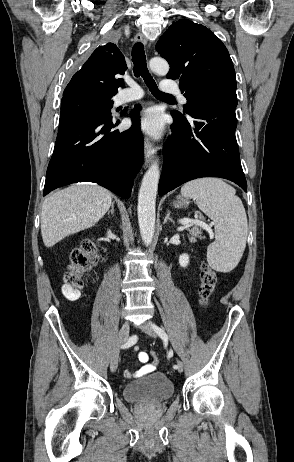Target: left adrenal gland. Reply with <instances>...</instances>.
Wrapping results in <instances>:
<instances>
[{
  "instance_id": "a2214340",
  "label": "left adrenal gland",
  "mask_w": 294,
  "mask_h": 462,
  "mask_svg": "<svg viewBox=\"0 0 294 462\" xmlns=\"http://www.w3.org/2000/svg\"><path fill=\"white\" fill-rule=\"evenodd\" d=\"M167 221H170L174 224V220L170 217V211H167V215L165 216L163 224H165Z\"/></svg>"
}]
</instances>
